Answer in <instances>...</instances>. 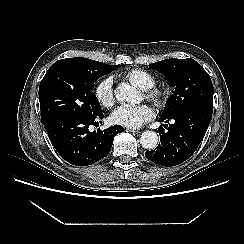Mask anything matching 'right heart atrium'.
<instances>
[{"label":"right heart atrium","instance_id":"obj_1","mask_svg":"<svg viewBox=\"0 0 244 244\" xmlns=\"http://www.w3.org/2000/svg\"><path fill=\"white\" fill-rule=\"evenodd\" d=\"M94 94L100 105L106 108L112 107L115 102L113 92V79L111 77L103 79L96 86Z\"/></svg>","mask_w":244,"mask_h":244}]
</instances>
